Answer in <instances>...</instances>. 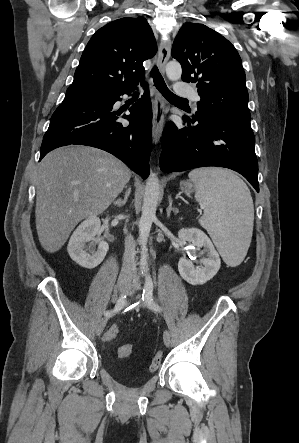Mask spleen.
Instances as JSON below:
<instances>
[{"instance_id":"spleen-1","label":"spleen","mask_w":299,"mask_h":443,"mask_svg":"<svg viewBox=\"0 0 299 443\" xmlns=\"http://www.w3.org/2000/svg\"><path fill=\"white\" fill-rule=\"evenodd\" d=\"M196 185V200L204 208L199 219L223 260L239 265L251 242L254 206L246 184L230 170L200 168L189 173Z\"/></svg>"}]
</instances>
